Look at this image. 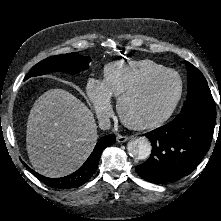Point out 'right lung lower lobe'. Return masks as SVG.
I'll use <instances>...</instances> for the list:
<instances>
[{
    "label": "right lung lower lobe",
    "mask_w": 221,
    "mask_h": 221,
    "mask_svg": "<svg viewBox=\"0 0 221 221\" xmlns=\"http://www.w3.org/2000/svg\"><path fill=\"white\" fill-rule=\"evenodd\" d=\"M116 141V137L114 134H109L103 137L96 144L93 152L88 157L86 162L75 172L72 174L60 177V178H48L44 177L35 171L31 170V172L44 184L56 189H72L77 188L85 184L95 173L99 159L101 157L102 151L109 145L114 144ZM27 168H29L26 164H24ZM30 169V168H29Z\"/></svg>",
    "instance_id": "obj_1"
}]
</instances>
